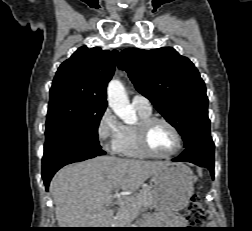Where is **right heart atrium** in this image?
Wrapping results in <instances>:
<instances>
[{
    "instance_id": "obj_1",
    "label": "right heart atrium",
    "mask_w": 252,
    "mask_h": 231,
    "mask_svg": "<svg viewBox=\"0 0 252 231\" xmlns=\"http://www.w3.org/2000/svg\"><path fill=\"white\" fill-rule=\"evenodd\" d=\"M122 130L123 124L109 108H106L102 112L96 128L100 143L112 152H117Z\"/></svg>"
}]
</instances>
